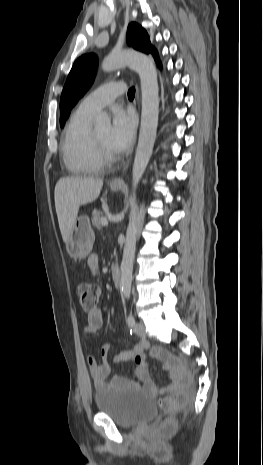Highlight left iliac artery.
<instances>
[{
	"mask_svg": "<svg viewBox=\"0 0 263 465\" xmlns=\"http://www.w3.org/2000/svg\"><path fill=\"white\" fill-rule=\"evenodd\" d=\"M127 323L129 325V327H131V328H133L134 325H135V318H134L132 312H130V314H129L128 318H127ZM131 331H132V329H131Z\"/></svg>",
	"mask_w": 263,
	"mask_h": 465,
	"instance_id": "left-iliac-artery-1",
	"label": "left iliac artery"
}]
</instances>
